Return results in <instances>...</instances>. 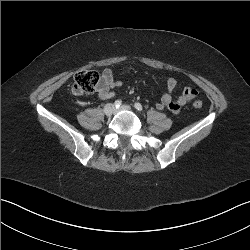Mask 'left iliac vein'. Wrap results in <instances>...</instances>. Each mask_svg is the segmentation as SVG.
Returning <instances> with one entry per match:
<instances>
[{"label":"left iliac vein","mask_w":250,"mask_h":250,"mask_svg":"<svg viewBox=\"0 0 250 250\" xmlns=\"http://www.w3.org/2000/svg\"><path fill=\"white\" fill-rule=\"evenodd\" d=\"M121 110H127V111H130L131 110V107L129 105H122L118 111H121Z\"/></svg>","instance_id":"4c4485c4"}]
</instances>
